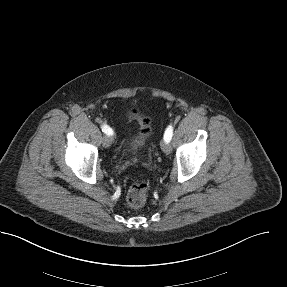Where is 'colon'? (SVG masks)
<instances>
[{
    "label": "colon",
    "instance_id": "colon-1",
    "mask_svg": "<svg viewBox=\"0 0 287 287\" xmlns=\"http://www.w3.org/2000/svg\"><path fill=\"white\" fill-rule=\"evenodd\" d=\"M131 118L139 124V135L137 144L142 143L151 133V121L148 117L139 114L137 111L131 112ZM148 192V185L143 181L132 183L127 192V202L131 207L137 208L144 204Z\"/></svg>",
    "mask_w": 287,
    "mask_h": 287
}]
</instances>
